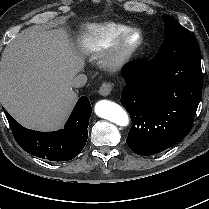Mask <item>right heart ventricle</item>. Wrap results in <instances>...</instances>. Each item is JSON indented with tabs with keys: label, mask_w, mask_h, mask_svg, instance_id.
Instances as JSON below:
<instances>
[{
	"label": "right heart ventricle",
	"mask_w": 209,
	"mask_h": 209,
	"mask_svg": "<svg viewBox=\"0 0 209 209\" xmlns=\"http://www.w3.org/2000/svg\"><path fill=\"white\" fill-rule=\"evenodd\" d=\"M131 28L119 22L86 25L77 36V45L81 52L91 54L105 49L116 34Z\"/></svg>",
	"instance_id": "right-heart-ventricle-1"
}]
</instances>
